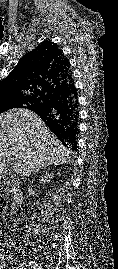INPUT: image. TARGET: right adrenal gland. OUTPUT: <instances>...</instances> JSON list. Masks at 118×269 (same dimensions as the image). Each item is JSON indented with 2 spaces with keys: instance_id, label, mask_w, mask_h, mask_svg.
<instances>
[{
  "instance_id": "2a0ac1e0",
  "label": "right adrenal gland",
  "mask_w": 118,
  "mask_h": 269,
  "mask_svg": "<svg viewBox=\"0 0 118 269\" xmlns=\"http://www.w3.org/2000/svg\"><path fill=\"white\" fill-rule=\"evenodd\" d=\"M40 169H42V168H38V169H36L35 171H33V172H38Z\"/></svg>"
}]
</instances>
